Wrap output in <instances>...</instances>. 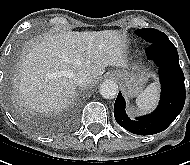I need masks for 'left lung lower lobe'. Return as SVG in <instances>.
Wrapping results in <instances>:
<instances>
[{
	"label": "left lung lower lobe",
	"mask_w": 190,
	"mask_h": 165,
	"mask_svg": "<svg viewBox=\"0 0 190 165\" xmlns=\"http://www.w3.org/2000/svg\"><path fill=\"white\" fill-rule=\"evenodd\" d=\"M145 52L159 68L161 99L158 107L149 115L131 120L125 112V100L120 92L114 105L117 123L138 135H152L165 130L180 114L185 103L184 74L173 43L168 38L161 39L150 44Z\"/></svg>",
	"instance_id": "1"
}]
</instances>
